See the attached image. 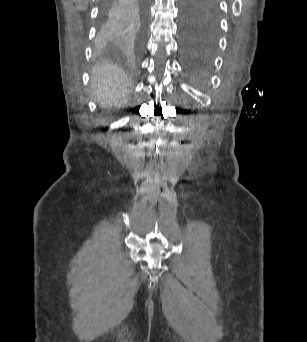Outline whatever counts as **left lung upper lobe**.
Here are the masks:
<instances>
[{"instance_id":"5c2ea615","label":"left lung upper lobe","mask_w":307,"mask_h":342,"mask_svg":"<svg viewBox=\"0 0 307 342\" xmlns=\"http://www.w3.org/2000/svg\"><path fill=\"white\" fill-rule=\"evenodd\" d=\"M182 39L186 53H211L217 45L219 13L216 0H183Z\"/></svg>"}]
</instances>
